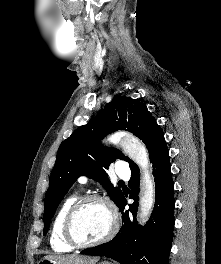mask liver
Here are the masks:
<instances>
[{
    "label": "liver",
    "instance_id": "obj_1",
    "mask_svg": "<svg viewBox=\"0 0 221 264\" xmlns=\"http://www.w3.org/2000/svg\"><path fill=\"white\" fill-rule=\"evenodd\" d=\"M44 259L56 260L62 264H95L98 261V257L90 258L77 255H49L45 256Z\"/></svg>",
    "mask_w": 221,
    "mask_h": 264
}]
</instances>
